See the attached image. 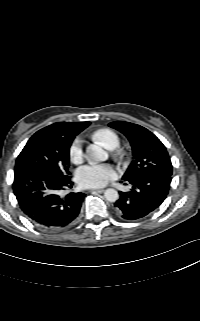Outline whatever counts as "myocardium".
Returning a JSON list of instances; mask_svg holds the SVG:
<instances>
[{
    "instance_id": "obj_1",
    "label": "myocardium",
    "mask_w": 200,
    "mask_h": 321,
    "mask_svg": "<svg viewBox=\"0 0 200 321\" xmlns=\"http://www.w3.org/2000/svg\"><path fill=\"white\" fill-rule=\"evenodd\" d=\"M125 151L121 148H118L115 152H114V156L115 158H117L118 160H123L125 158Z\"/></svg>"
}]
</instances>
